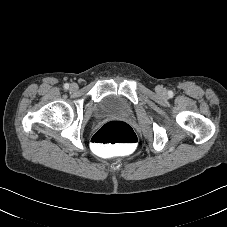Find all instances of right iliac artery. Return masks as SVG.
<instances>
[{
    "instance_id": "1",
    "label": "right iliac artery",
    "mask_w": 227,
    "mask_h": 227,
    "mask_svg": "<svg viewBox=\"0 0 227 227\" xmlns=\"http://www.w3.org/2000/svg\"><path fill=\"white\" fill-rule=\"evenodd\" d=\"M64 88L68 89L69 88V84L68 83L64 84Z\"/></svg>"
}]
</instances>
